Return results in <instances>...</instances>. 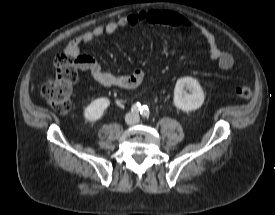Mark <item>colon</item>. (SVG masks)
Instances as JSON below:
<instances>
[{
    "label": "colon",
    "mask_w": 275,
    "mask_h": 215,
    "mask_svg": "<svg viewBox=\"0 0 275 215\" xmlns=\"http://www.w3.org/2000/svg\"><path fill=\"white\" fill-rule=\"evenodd\" d=\"M77 72L72 60L66 55H59L55 60V74L42 86L41 93L46 103L57 113L65 114L71 108L72 87L77 81ZM237 97L248 99L252 90L247 85H239L235 89Z\"/></svg>",
    "instance_id": "colon-1"
}]
</instances>
